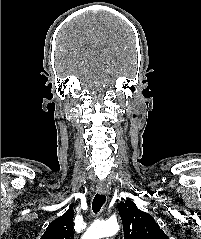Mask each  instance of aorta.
Masks as SVG:
<instances>
[{"mask_svg":"<svg viewBox=\"0 0 201 239\" xmlns=\"http://www.w3.org/2000/svg\"><path fill=\"white\" fill-rule=\"evenodd\" d=\"M119 231V225L116 221H104L92 224L85 232L82 239H101L115 235Z\"/></svg>","mask_w":201,"mask_h":239,"instance_id":"1","label":"aorta"}]
</instances>
